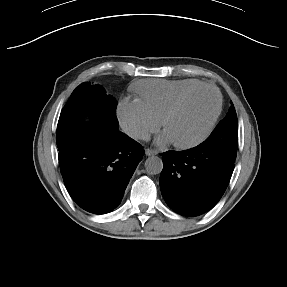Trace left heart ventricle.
<instances>
[{
	"label": "left heart ventricle",
	"mask_w": 287,
	"mask_h": 287,
	"mask_svg": "<svg viewBox=\"0 0 287 287\" xmlns=\"http://www.w3.org/2000/svg\"><path fill=\"white\" fill-rule=\"evenodd\" d=\"M216 95L203 89L192 94L169 121L165 132L173 142H187L199 136L216 108Z\"/></svg>",
	"instance_id": "obj_1"
}]
</instances>
